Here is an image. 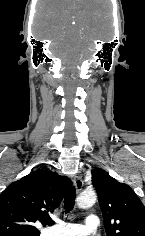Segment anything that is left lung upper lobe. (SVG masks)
<instances>
[{"label": "left lung upper lobe", "mask_w": 145, "mask_h": 236, "mask_svg": "<svg viewBox=\"0 0 145 236\" xmlns=\"http://www.w3.org/2000/svg\"><path fill=\"white\" fill-rule=\"evenodd\" d=\"M107 236H145V206L130 186L101 168L92 170Z\"/></svg>", "instance_id": "1"}]
</instances>
